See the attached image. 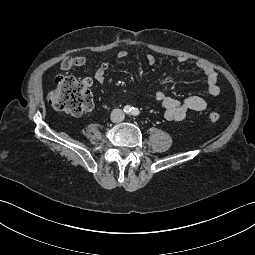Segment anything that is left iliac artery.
<instances>
[{
    "instance_id": "44dca946",
    "label": "left iliac artery",
    "mask_w": 255,
    "mask_h": 255,
    "mask_svg": "<svg viewBox=\"0 0 255 255\" xmlns=\"http://www.w3.org/2000/svg\"><path fill=\"white\" fill-rule=\"evenodd\" d=\"M132 115H134V116H137V115H139L140 114V111L138 110V108H132Z\"/></svg>"
}]
</instances>
